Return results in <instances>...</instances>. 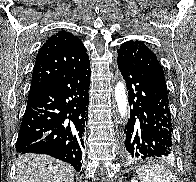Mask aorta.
Returning <instances> with one entry per match:
<instances>
[{
  "instance_id": "obj_1",
  "label": "aorta",
  "mask_w": 196,
  "mask_h": 182,
  "mask_svg": "<svg viewBox=\"0 0 196 182\" xmlns=\"http://www.w3.org/2000/svg\"><path fill=\"white\" fill-rule=\"evenodd\" d=\"M115 100L117 103L120 116L124 118L127 115L128 102H127L126 87L123 80L119 81L115 86Z\"/></svg>"
}]
</instances>
